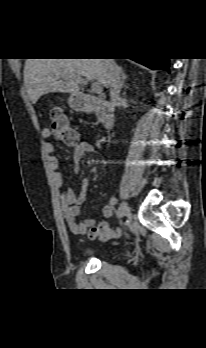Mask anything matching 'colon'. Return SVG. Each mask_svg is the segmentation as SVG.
I'll return each instance as SVG.
<instances>
[{"mask_svg": "<svg viewBox=\"0 0 206 348\" xmlns=\"http://www.w3.org/2000/svg\"><path fill=\"white\" fill-rule=\"evenodd\" d=\"M50 135L53 139L67 144L77 142V133L70 125L67 117L60 108L50 111ZM119 231L112 230L106 222L93 226L89 230V236L94 239L107 240L116 236Z\"/></svg>", "mask_w": 206, "mask_h": 348, "instance_id": "5ec220e1", "label": "colon"}]
</instances>
